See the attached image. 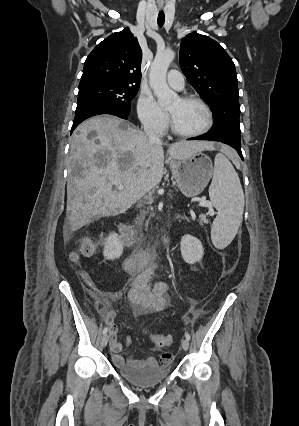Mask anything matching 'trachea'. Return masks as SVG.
Returning <instances> with one entry per match:
<instances>
[{"instance_id": "1", "label": "trachea", "mask_w": 299, "mask_h": 426, "mask_svg": "<svg viewBox=\"0 0 299 426\" xmlns=\"http://www.w3.org/2000/svg\"><path fill=\"white\" fill-rule=\"evenodd\" d=\"M165 22V14L163 11H160L158 14V26L162 27L164 25Z\"/></svg>"}]
</instances>
